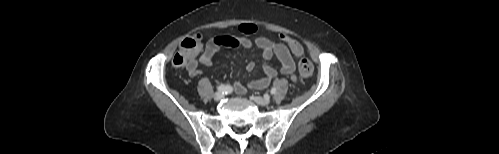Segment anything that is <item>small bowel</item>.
<instances>
[{"label": "small bowel", "mask_w": 499, "mask_h": 154, "mask_svg": "<svg viewBox=\"0 0 499 154\" xmlns=\"http://www.w3.org/2000/svg\"><path fill=\"white\" fill-rule=\"evenodd\" d=\"M239 31L243 34H252L257 31V27L253 24H242L239 26ZM256 46L262 53V56L269 60L276 57L280 62V72L289 76L292 81L297 80L295 74V63L292 53L288 47L281 43H274L264 36H257L254 40L245 37L234 36H217L207 42L204 47L203 53L200 57V62L204 65L210 66L213 63L216 52L221 48L232 49H250ZM255 68L253 62H248L246 65L247 71H252ZM188 72L191 76H197L200 73L197 62L188 64ZM263 76L259 79L252 80L247 84L236 83L235 90L238 94L244 95L248 88L264 89L272 80L277 76V70L270 64L263 66Z\"/></svg>", "instance_id": "1"}]
</instances>
